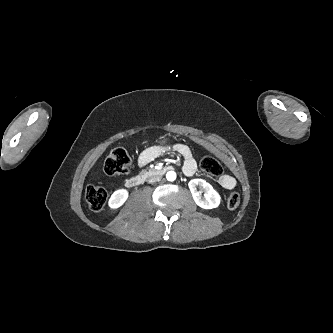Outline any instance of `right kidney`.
Listing matches in <instances>:
<instances>
[{
    "label": "right kidney",
    "mask_w": 333,
    "mask_h": 333,
    "mask_svg": "<svg viewBox=\"0 0 333 333\" xmlns=\"http://www.w3.org/2000/svg\"><path fill=\"white\" fill-rule=\"evenodd\" d=\"M128 198V191L126 189H120L115 191L109 199V207L116 209L124 204Z\"/></svg>",
    "instance_id": "1"
}]
</instances>
